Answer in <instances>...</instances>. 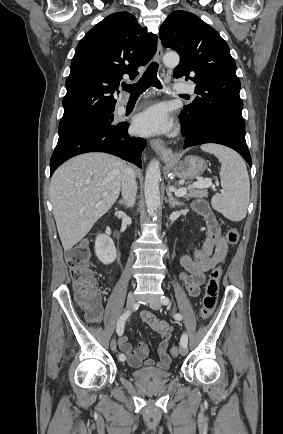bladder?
<instances>
[{
	"mask_svg": "<svg viewBox=\"0 0 283 434\" xmlns=\"http://www.w3.org/2000/svg\"><path fill=\"white\" fill-rule=\"evenodd\" d=\"M132 376L141 381H165L172 377V373L168 370H161L155 367H143L135 369L131 372Z\"/></svg>",
	"mask_w": 283,
	"mask_h": 434,
	"instance_id": "1",
	"label": "bladder"
}]
</instances>
